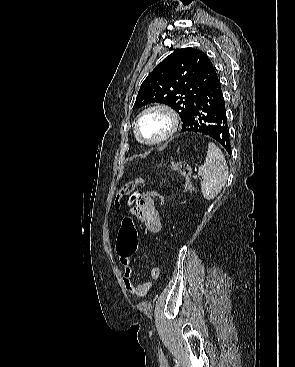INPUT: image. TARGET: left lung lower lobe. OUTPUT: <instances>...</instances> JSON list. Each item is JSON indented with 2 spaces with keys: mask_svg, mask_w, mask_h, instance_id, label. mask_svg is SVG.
Instances as JSON below:
<instances>
[{
  "mask_svg": "<svg viewBox=\"0 0 295 367\" xmlns=\"http://www.w3.org/2000/svg\"><path fill=\"white\" fill-rule=\"evenodd\" d=\"M181 131L207 135L231 152L226 105L216 71L189 108Z\"/></svg>",
  "mask_w": 295,
  "mask_h": 367,
  "instance_id": "obj_1",
  "label": "left lung lower lobe"
}]
</instances>
